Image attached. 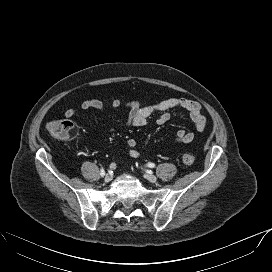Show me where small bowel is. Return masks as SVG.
<instances>
[{"instance_id":"small-bowel-1","label":"small bowel","mask_w":272,"mask_h":272,"mask_svg":"<svg viewBox=\"0 0 272 272\" xmlns=\"http://www.w3.org/2000/svg\"><path fill=\"white\" fill-rule=\"evenodd\" d=\"M112 110H116L122 106V103L118 99H112L107 104ZM128 111L127 125L131 127L144 126L148 119L154 115H158L157 124L163 125L170 118V110L183 109L188 114L194 125V128L201 132L206 128V117L201 112V106L198 102L187 98H169L159 102L150 104H143L138 101H130L125 105ZM106 104L97 99L85 100L80 104L82 110L96 109L103 111ZM77 115V111L73 108H69L64 112V116L67 118H74ZM194 139V133L179 129L176 133L175 141L180 144H189ZM126 153L132 158H139L140 153L136 149V141L130 139L126 144ZM112 168H115L116 163L111 164Z\"/></svg>"}]
</instances>
